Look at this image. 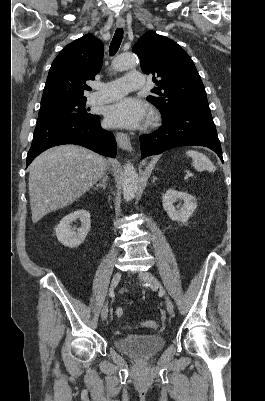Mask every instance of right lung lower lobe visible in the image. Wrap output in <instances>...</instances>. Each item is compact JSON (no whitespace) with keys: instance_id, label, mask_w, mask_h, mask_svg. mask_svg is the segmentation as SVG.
I'll return each instance as SVG.
<instances>
[{"instance_id":"98d812e1","label":"right lung lower lobe","mask_w":265,"mask_h":401,"mask_svg":"<svg viewBox=\"0 0 265 401\" xmlns=\"http://www.w3.org/2000/svg\"><path fill=\"white\" fill-rule=\"evenodd\" d=\"M100 117L89 119L51 118L37 122L27 166L43 151L57 145L76 144L99 154L115 157L116 141L112 132L100 126Z\"/></svg>"}]
</instances>
